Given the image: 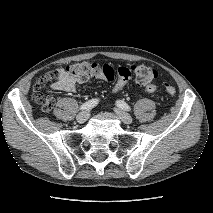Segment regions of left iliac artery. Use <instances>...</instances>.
Listing matches in <instances>:
<instances>
[{
	"label": "left iliac artery",
	"mask_w": 213,
	"mask_h": 213,
	"mask_svg": "<svg viewBox=\"0 0 213 213\" xmlns=\"http://www.w3.org/2000/svg\"><path fill=\"white\" fill-rule=\"evenodd\" d=\"M116 104H117L118 107H120V108H122V109H124L126 111H131L130 106L126 102H124L122 100H117Z\"/></svg>",
	"instance_id": "obj_1"
}]
</instances>
